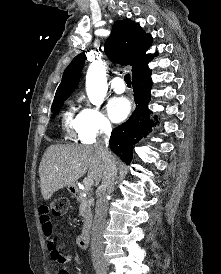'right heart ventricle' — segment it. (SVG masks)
I'll return each mask as SVG.
<instances>
[{"instance_id":"obj_1","label":"right heart ventricle","mask_w":221,"mask_h":274,"mask_svg":"<svg viewBox=\"0 0 221 274\" xmlns=\"http://www.w3.org/2000/svg\"><path fill=\"white\" fill-rule=\"evenodd\" d=\"M75 108L71 106L63 115V124L67 131L75 134L78 116H74Z\"/></svg>"}]
</instances>
